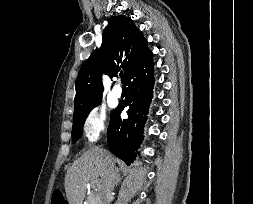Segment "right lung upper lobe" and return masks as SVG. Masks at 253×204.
Returning a JSON list of instances; mask_svg holds the SVG:
<instances>
[{
    "label": "right lung upper lobe",
    "instance_id": "right-lung-upper-lobe-1",
    "mask_svg": "<svg viewBox=\"0 0 253 204\" xmlns=\"http://www.w3.org/2000/svg\"><path fill=\"white\" fill-rule=\"evenodd\" d=\"M149 51L147 40L131 18L111 17L103 33L101 48L96 49L80 69L75 83L74 113L101 99L102 72L112 77L122 68L125 83Z\"/></svg>",
    "mask_w": 253,
    "mask_h": 204
}]
</instances>
